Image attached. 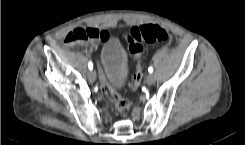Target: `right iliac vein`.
Returning a JSON list of instances; mask_svg holds the SVG:
<instances>
[{"label": "right iliac vein", "mask_w": 245, "mask_h": 145, "mask_svg": "<svg viewBox=\"0 0 245 145\" xmlns=\"http://www.w3.org/2000/svg\"><path fill=\"white\" fill-rule=\"evenodd\" d=\"M88 79L90 82H94L96 79V73L94 70L89 71L88 73Z\"/></svg>", "instance_id": "63e3f726"}]
</instances>
